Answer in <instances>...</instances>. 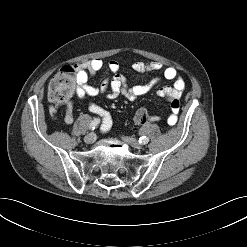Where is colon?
Listing matches in <instances>:
<instances>
[{
	"mask_svg": "<svg viewBox=\"0 0 247 247\" xmlns=\"http://www.w3.org/2000/svg\"><path fill=\"white\" fill-rule=\"evenodd\" d=\"M77 86L76 69L74 65L63 67L50 81L48 86V97L53 103H63L70 100ZM180 103L175 100L173 109H179ZM179 111V110H178ZM149 114L145 109H139L133 118L135 127L146 124Z\"/></svg>",
	"mask_w": 247,
	"mask_h": 247,
	"instance_id": "colon-1",
	"label": "colon"
}]
</instances>
